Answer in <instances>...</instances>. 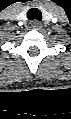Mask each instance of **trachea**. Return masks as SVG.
<instances>
[{
    "instance_id": "3493384b",
    "label": "trachea",
    "mask_w": 71,
    "mask_h": 119,
    "mask_svg": "<svg viewBox=\"0 0 71 119\" xmlns=\"http://www.w3.org/2000/svg\"><path fill=\"white\" fill-rule=\"evenodd\" d=\"M27 17L29 20L41 21L42 20V13L37 8H31L27 13Z\"/></svg>"
}]
</instances>
